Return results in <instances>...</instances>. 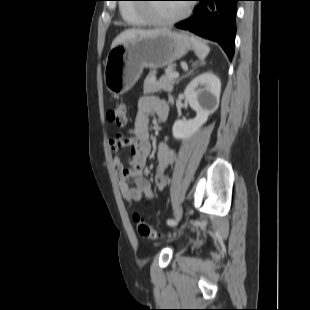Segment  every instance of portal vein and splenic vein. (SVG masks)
<instances>
[{"instance_id": "obj_1", "label": "portal vein and splenic vein", "mask_w": 310, "mask_h": 310, "mask_svg": "<svg viewBox=\"0 0 310 310\" xmlns=\"http://www.w3.org/2000/svg\"><path fill=\"white\" fill-rule=\"evenodd\" d=\"M179 77V73L178 72H173L169 75V78L170 79H176Z\"/></svg>"}]
</instances>
